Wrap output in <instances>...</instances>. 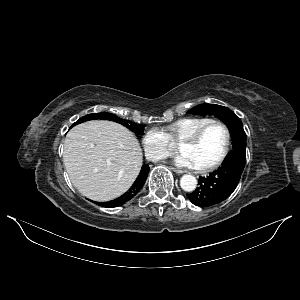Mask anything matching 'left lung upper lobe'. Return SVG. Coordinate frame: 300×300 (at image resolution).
<instances>
[{
    "instance_id": "5c2ea615",
    "label": "left lung upper lobe",
    "mask_w": 300,
    "mask_h": 300,
    "mask_svg": "<svg viewBox=\"0 0 300 300\" xmlns=\"http://www.w3.org/2000/svg\"><path fill=\"white\" fill-rule=\"evenodd\" d=\"M189 113L195 115H214L215 117L222 120L227 125L230 131L233 150H240L245 152L246 133L243 129L240 118L237 117L233 111L220 105L202 104L195 106L194 108L189 110Z\"/></svg>"
}]
</instances>
